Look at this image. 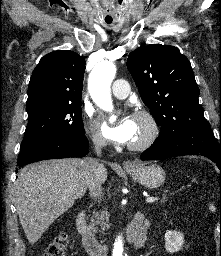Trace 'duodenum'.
Here are the masks:
<instances>
[{
	"label": "duodenum",
	"instance_id": "duodenum-1",
	"mask_svg": "<svg viewBox=\"0 0 221 256\" xmlns=\"http://www.w3.org/2000/svg\"><path fill=\"white\" fill-rule=\"evenodd\" d=\"M76 227L78 233L81 235L84 248L91 256H107L108 247L107 245L99 242L90 230L86 221V215L84 210H81L77 214ZM144 232V215L142 213H137L129 226L128 237L131 241L138 242L142 239Z\"/></svg>",
	"mask_w": 221,
	"mask_h": 256
}]
</instances>
